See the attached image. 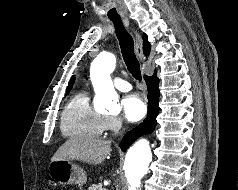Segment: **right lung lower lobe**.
Returning <instances> with one entry per match:
<instances>
[{
  "label": "right lung lower lobe",
  "instance_id": "98d812e1",
  "mask_svg": "<svg viewBox=\"0 0 238 190\" xmlns=\"http://www.w3.org/2000/svg\"><path fill=\"white\" fill-rule=\"evenodd\" d=\"M144 79L148 86V115L143 123L125 134L120 143V147L123 151H125L138 137L153 131L157 124L156 117L159 113V79L156 77V74L151 77L144 76Z\"/></svg>",
  "mask_w": 238,
  "mask_h": 190
}]
</instances>
